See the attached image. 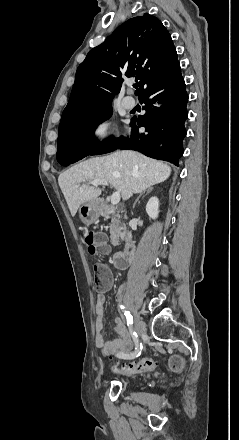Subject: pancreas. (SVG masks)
<instances>
[{
  "label": "pancreas",
  "instance_id": "1",
  "mask_svg": "<svg viewBox=\"0 0 239 440\" xmlns=\"http://www.w3.org/2000/svg\"><path fill=\"white\" fill-rule=\"evenodd\" d=\"M111 216V224L110 228V242L113 246H119V240H123L124 238V224H121L119 214H110Z\"/></svg>",
  "mask_w": 239,
  "mask_h": 440
}]
</instances>
